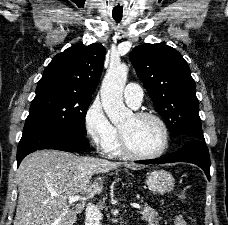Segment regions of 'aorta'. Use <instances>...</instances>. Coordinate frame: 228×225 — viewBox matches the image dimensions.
<instances>
[{"label": "aorta", "mask_w": 228, "mask_h": 225, "mask_svg": "<svg viewBox=\"0 0 228 225\" xmlns=\"http://www.w3.org/2000/svg\"><path fill=\"white\" fill-rule=\"evenodd\" d=\"M127 64L110 62L109 68L102 80L101 100L107 117L113 125H122L128 117L133 115L132 110L123 102V90L128 74Z\"/></svg>", "instance_id": "aorta-1"}]
</instances>
